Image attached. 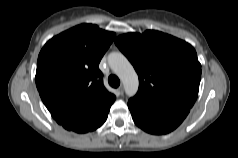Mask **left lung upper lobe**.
Instances as JSON below:
<instances>
[{"mask_svg":"<svg viewBox=\"0 0 238 158\" xmlns=\"http://www.w3.org/2000/svg\"><path fill=\"white\" fill-rule=\"evenodd\" d=\"M115 44L139 76V89L131 100L148 109L194 105L201 64L190 44L154 30L121 35Z\"/></svg>","mask_w":238,"mask_h":158,"instance_id":"5c2ea615","label":"left lung upper lobe"}]
</instances>
